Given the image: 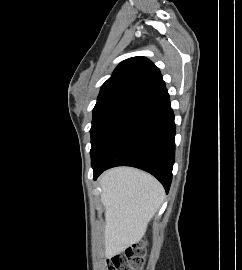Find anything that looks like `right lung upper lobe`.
I'll list each match as a JSON object with an SVG mask.
<instances>
[{
    "label": "right lung upper lobe",
    "mask_w": 242,
    "mask_h": 270,
    "mask_svg": "<svg viewBox=\"0 0 242 270\" xmlns=\"http://www.w3.org/2000/svg\"><path fill=\"white\" fill-rule=\"evenodd\" d=\"M164 91L159 69L145 57H132L121 62L102 85L95 107L114 103L138 106Z\"/></svg>",
    "instance_id": "obj_1"
}]
</instances>
